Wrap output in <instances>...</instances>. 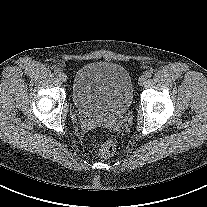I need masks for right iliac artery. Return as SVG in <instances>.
I'll return each instance as SVG.
<instances>
[{
  "label": "right iliac artery",
  "instance_id": "obj_1",
  "mask_svg": "<svg viewBox=\"0 0 207 207\" xmlns=\"http://www.w3.org/2000/svg\"><path fill=\"white\" fill-rule=\"evenodd\" d=\"M54 73L56 74V75H59L61 72H60V69H58V68H55L54 69Z\"/></svg>",
  "mask_w": 207,
  "mask_h": 207
}]
</instances>
